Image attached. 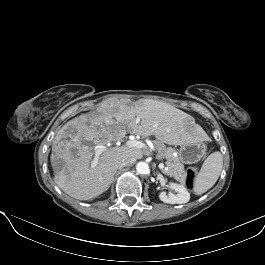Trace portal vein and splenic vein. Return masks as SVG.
<instances>
[{"instance_id": "obj_1", "label": "portal vein and splenic vein", "mask_w": 265, "mask_h": 265, "mask_svg": "<svg viewBox=\"0 0 265 265\" xmlns=\"http://www.w3.org/2000/svg\"><path fill=\"white\" fill-rule=\"evenodd\" d=\"M127 146L129 147H136V148H139V149H142V148H146V144H144L143 142L139 141V140H136V139H130L128 140L126 143H125ZM106 147L105 146H97L95 148V156L93 158V161L91 163V167L94 168L97 163H98V160H99V157L100 155L102 154L103 151H105ZM159 169L162 170V169H166L164 163H160L158 165Z\"/></svg>"}]
</instances>
